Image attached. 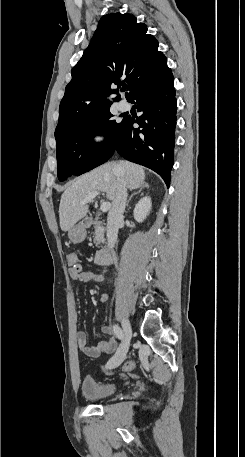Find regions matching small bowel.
Wrapping results in <instances>:
<instances>
[{
  "label": "small bowel",
  "mask_w": 245,
  "mask_h": 457,
  "mask_svg": "<svg viewBox=\"0 0 245 457\" xmlns=\"http://www.w3.org/2000/svg\"><path fill=\"white\" fill-rule=\"evenodd\" d=\"M69 275L72 279L80 281V282H89V281L100 282L103 280L102 274L96 273L93 271H84L81 269V267H79L78 269L70 268ZM108 299H109L108 293H103L100 296V301L102 303L107 302ZM102 332L107 336L111 335V330L107 326L102 327ZM77 346H78V349L83 354H85L86 356L95 358V357H99L103 354L113 353L117 348V342L113 337L110 336L106 340H102L101 342H99V344L97 346H89L87 343L86 334L82 331H79L77 333Z\"/></svg>",
  "instance_id": "obj_1"
}]
</instances>
